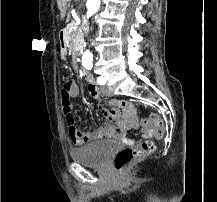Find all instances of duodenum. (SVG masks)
<instances>
[{
	"mask_svg": "<svg viewBox=\"0 0 217 202\" xmlns=\"http://www.w3.org/2000/svg\"><path fill=\"white\" fill-rule=\"evenodd\" d=\"M59 44L61 48V55L62 57H65L67 52V37L64 30L59 32ZM83 75L89 84L94 83V77L89 71L83 70Z\"/></svg>",
	"mask_w": 217,
	"mask_h": 202,
	"instance_id": "1",
	"label": "duodenum"
}]
</instances>
